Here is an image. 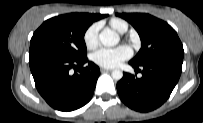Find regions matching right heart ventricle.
I'll return each instance as SVG.
<instances>
[{"instance_id": "e07e8e85", "label": "right heart ventricle", "mask_w": 203, "mask_h": 123, "mask_svg": "<svg viewBox=\"0 0 203 123\" xmlns=\"http://www.w3.org/2000/svg\"><path fill=\"white\" fill-rule=\"evenodd\" d=\"M110 26L118 31L119 33H124L128 29V24L126 21L119 19V18H113L110 20Z\"/></svg>"}]
</instances>
